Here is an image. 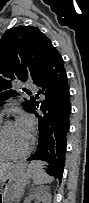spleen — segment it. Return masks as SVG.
<instances>
[{
	"mask_svg": "<svg viewBox=\"0 0 89 203\" xmlns=\"http://www.w3.org/2000/svg\"><path fill=\"white\" fill-rule=\"evenodd\" d=\"M42 163L37 162L30 166L27 170L28 176L33 180V182L37 185L50 183L53 181V177L49 176L43 169Z\"/></svg>",
	"mask_w": 89,
	"mask_h": 203,
	"instance_id": "obj_1",
	"label": "spleen"
}]
</instances>
